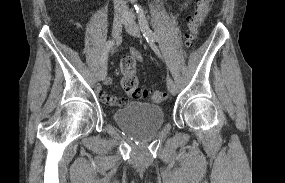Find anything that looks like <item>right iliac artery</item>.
Masks as SVG:
<instances>
[{"instance_id": "1", "label": "right iliac artery", "mask_w": 285, "mask_h": 183, "mask_svg": "<svg viewBox=\"0 0 285 183\" xmlns=\"http://www.w3.org/2000/svg\"><path fill=\"white\" fill-rule=\"evenodd\" d=\"M113 46H114V40H108L105 43L103 51H102L101 59H100L101 65H104L106 63L108 53L113 48Z\"/></svg>"}]
</instances>
